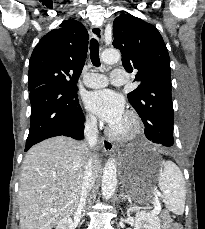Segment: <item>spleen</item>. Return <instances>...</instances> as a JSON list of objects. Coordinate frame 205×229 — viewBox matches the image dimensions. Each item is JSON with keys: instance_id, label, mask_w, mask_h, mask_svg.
Here are the masks:
<instances>
[{"instance_id": "3e777b00", "label": "spleen", "mask_w": 205, "mask_h": 229, "mask_svg": "<svg viewBox=\"0 0 205 229\" xmlns=\"http://www.w3.org/2000/svg\"><path fill=\"white\" fill-rule=\"evenodd\" d=\"M158 186L162 192L160 198L168 210L182 215L185 208L186 187L181 170L172 161L164 163V169L158 177Z\"/></svg>"}]
</instances>
